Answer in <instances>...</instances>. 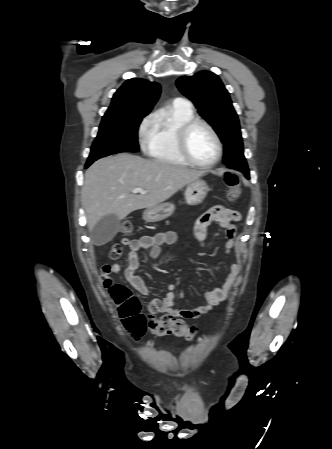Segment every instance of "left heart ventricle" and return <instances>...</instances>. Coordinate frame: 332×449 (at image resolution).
<instances>
[{"instance_id":"1","label":"left heart ventricle","mask_w":332,"mask_h":449,"mask_svg":"<svg viewBox=\"0 0 332 449\" xmlns=\"http://www.w3.org/2000/svg\"><path fill=\"white\" fill-rule=\"evenodd\" d=\"M188 148L192 157L200 163L211 162L217 152L216 143L210 132L201 125L194 127L188 136Z\"/></svg>"}]
</instances>
